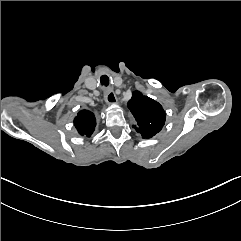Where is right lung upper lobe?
Returning a JSON list of instances; mask_svg holds the SVG:
<instances>
[{"mask_svg":"<svg viewBox=\"0 0 241 241\" xmlns=\"http://www.w3.org/2000/svg\"><path fill=\"white\" fill-rule=\"evenodd\" d=\"M74 124L80 135L90 137L96 126V120L92 112L82 110L75 117Z\"/></svg>","mask_w":241,"mask_h":241,"instance_id":"right-lung-upper-lobe-1","label":"right lung upper lobe"}]
</instances>
